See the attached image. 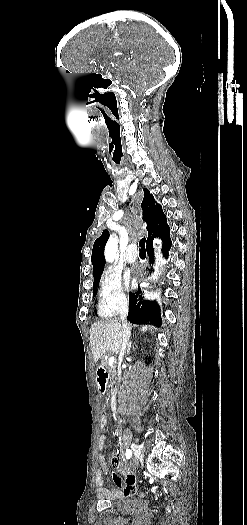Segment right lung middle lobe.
<instances>
[{"instance_id":"obj_1","label":"right lung middle lobe","mask_w":247,"mask_h":525,"mask_svg":"<svg viewBox=\"0 0 247 525\" xmlns=\"http://www.w3.org/2000/svg\"><path fill=\"white\" fill-rule=\"evenodd\" d=\"M101 275L94 276L93 296H95Z\"/></svg>"}]
</instances>
